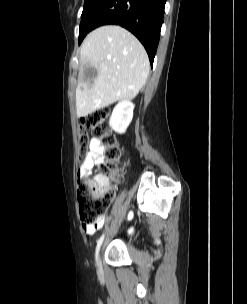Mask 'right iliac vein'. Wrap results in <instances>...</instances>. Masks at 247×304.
I'll return each instance as SVG.
<instances>
[{
	"mask_svg": "<svg viewBox=\"0 0 247 304\" xmlns=\"http://www.w3.org/2000/svg\"><path fill=\"white\" fill-rule=\"evenodd\" d=\"M97 267L101 269L100 256L97 257Z\"/></svg>",
	"mask_w": 247,
	"mask_h": 304,
	"instance_id": "obj_1",
	"label": "right iliac vein"
}]
</instances>
